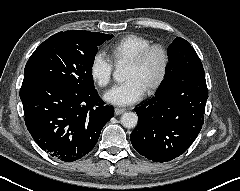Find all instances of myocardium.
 <instances>
[{
    "label": "myocardium",
    "instance_id": "f54148a6",
    "mask_svg": "<svg viewBox=\"0 0 240 191\" xmlns=\"http://www.w3.org/2000/svg\"><path fill=\"white\" fill-rule=\"evenodd\" d=\"M154 52H158L161 55L162 67L158 78L147 88L149 93H153L158 90L167 78L170 66V57L167 48L162 44H151L128 61V63L133 65H141Z\"/></svg>",
    "mask_w": 240,
    "mask_h": 191
}]
</instances>
